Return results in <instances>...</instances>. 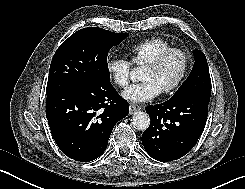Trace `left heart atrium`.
I'll return each instance as SVG.
<instances>
[{
    "instance_id": "left-heart-atrium-1",
    "label": "left heart atrium",
    "mask_w": 245,
    "mask_h": 189,
    "mask_svg": "<svg viewBox=\"0 0 245 189\" xmlns=\"http://www.w3.org/2000/svg\"><path fill=\"white\" fill-rule=\"evenodd\" d=\"M161 90L152 81L133 84L123 92V97L134 103L147 102L156 98Z\"/></svg>"
}]
</instances>
